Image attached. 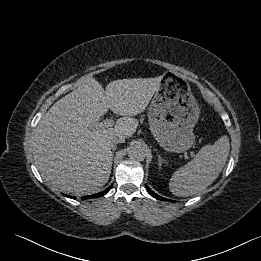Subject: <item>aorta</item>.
<instances>
[{
	"instance_id": "1",
	"label": "aorta",
	"mask_w": 261,
	"mask_h": 261,
	"mask_svg": "<svg viewBox=\"0 0 261 261\" xmlns=\"http://www.w3.org/2000/svg\"><path fill=\"white\" fill-rule=\"evenodd\" d=\"M128 155L134 161H143L146 157V151L141 144L137 143L130 147Z\"/></svg>"
}]
</instances>
